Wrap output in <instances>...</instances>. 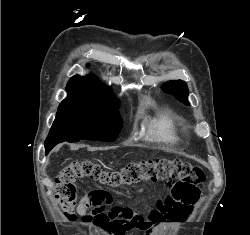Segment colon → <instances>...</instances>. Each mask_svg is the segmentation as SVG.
<instances>
[{
	"instance_id": "5ec220e1",
	"label": "colon",
	"mask_w": 250,
	"mask_h": 235,
	"mask_svg": "<svg viewBox=\"0 0 250 235\" xmlns=\"http://www.w3.org/2000/svg\"><path fill=\"white\" fill-rule=\"evenodd\" d=\"M88 178L105 186L117 188L141 181L146 183H173L171 196L186 205H194L200 196L205 176L200 167L181 159H143L132 161L117 170H107L90 160L69 162L56 178L55 200L69 219L76 218L78 201L76 182ZM112 197L105 190H94L84 198L85 222L92 223L107 235H125L135 227H145L150 222L136 216L132 209L112 205Z\"/></svg>"
}]
</instances>
